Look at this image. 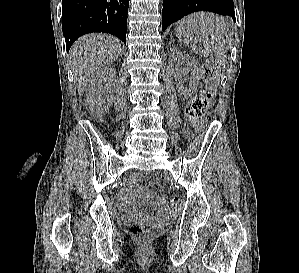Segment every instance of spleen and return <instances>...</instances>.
Returning a JSON list of instances; mask_svg holds the SVG:
<instances>
[{
    "mask_svg": "<svg viewBox=\"0 0 299 273\" xmlns=\"http://www.w3.org/2000/svg\"><path fill=\"white\" fill-rule=\"evenodd\" d=\"M175 34L181 43L201 57H219L231 45L228 19L213 13L198 12L185 17L176 23ZM197 37L203 44L198 49Z\"/></svg>",
    "mask_w": 299,
    "mask_h": 273,
    "instance_id": "obj_1",
    "label": "spleen"
}]
</instances>
